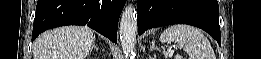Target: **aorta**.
<instances>
[{
  "label": "aorta",
  "mask_w": 261,
  "mask_h": 59,
  "mask_svg": "<svg viewBox=\"0 0 261 59\" xmlns=\"http://www.w3.org/2000/svg\"><path fill=\"white\" fill-rule=\"evenodd\" d=\"M119 33L125 56L134 59L137 33V10L132 4L126 6L122 12Z\"/></svg>",
  "instance_id": "aorta-1"
}]
</instances>
